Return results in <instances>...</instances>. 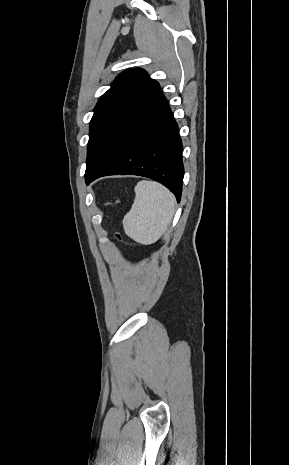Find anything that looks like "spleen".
<instances>
[{
  "mask_svg": "<svg viewBox=\"0 0 289 465\" xmlns=\"http://www.w3.org/2000/svg\"><path fill=\"white\" fill-rule=\"evenodd\" d=\"M135 199L123 218L125 233L134 241L150 245L167 230L174 215L175 197L163 185L142 180L135 187Z\"/></svg>",
  "mask_w": 289,
  "mask_h": 465,
  "instance_id": "1",
  "label": "spleen"
}]
</instances>
